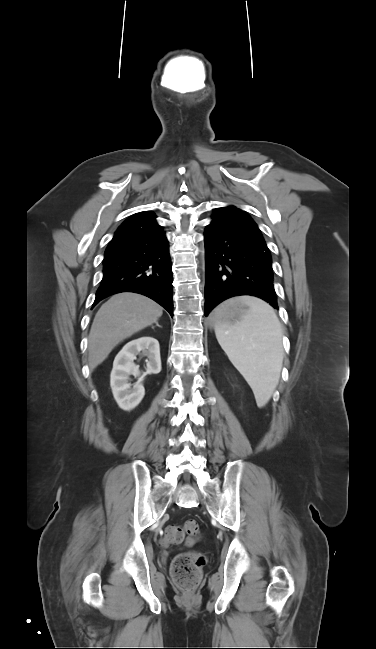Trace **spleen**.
<instances>
[{
    "label": "spleen",
    "instance_id": "3e777b00",
    "mask_svg": "<svg viewBox=\"0 0 376 649\" xmlns=\"http://www.w3.org/2000/svg\"><path fill=\"white\" fill-rule=\"evenodd\" d=\"M237 300L249 307L247 313L233 324L216 325L215 335L261 408L271 398L280 378L281 324L273 308L262 299L245 295Z\"/></svg>",
    "mask_w": 376,
    "mask_h": 649
}]
</instances>
